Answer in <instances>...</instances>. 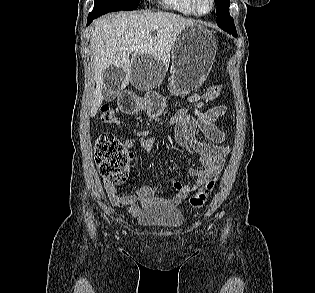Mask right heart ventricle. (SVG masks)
Instances as JSON below:
<instances>
[{
	"mask_svg": "<svg viewBox=\"0 0 315 293\" xmlns=\"http://www.w3.org/2000/svg\"><path fill=\"white\" fill-rule=\"evenodd\" d=\"M161 5L170 11L182 16L196 17L198 14L193 8L191 0H160Z\"/></svg>",
	"mask_w": 315,
	"mask_h": 293,
	"instance_id": "right-heart-ventricle-1",
	"label": "right heart ventricle"
}]
</instances>
